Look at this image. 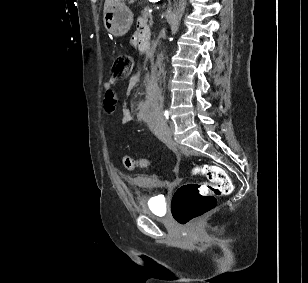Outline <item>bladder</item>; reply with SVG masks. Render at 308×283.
<instances>
[{"instance_id": "obj_1", "label": "bladder", "mask_w": 308, "mask_h": 283, "mask_svg": "<svg viewBox=\"0 0 308 283\" xmlns=\"http://www.w3.org/2000/svg\"><path fill=\"white\" fill-rule=\"evenodd\" d=\"M143 212L155 217L164 216L165 212L161 195L155 194L148 197L144 202Z\"/></svg>"}]
</instances>
